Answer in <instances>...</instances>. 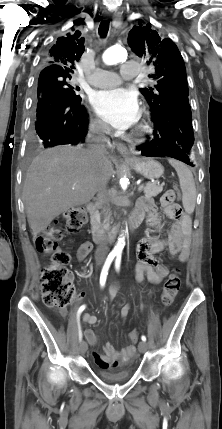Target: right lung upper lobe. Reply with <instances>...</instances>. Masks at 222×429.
Masks as SVG:
<instances>
[{"instance_id": "right-lung-upper-lobe-1", "label": "right lung upper lobe", "mask_w": 222, "mask_h": 429, "mask_svg": "<svg viewBox=\"0 0 222 429\" xmlns=\"http://www.w3.org/2000/svg\"><path fill=\"white\" fill-rule=\"evenodd\" d=\"M84 49V38L80 37V32H71L59 37L47 52L48 66L40 75H70L75 69L74 63L80 59Z\"/></svg>"}]
</instances>
